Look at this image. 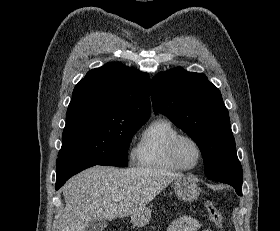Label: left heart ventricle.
I'll use <instances>...</instances> for the list:
<instances>
[{"mask_svg":"<svg viewBox=\"0 0 280 231\" xmlns=\"http://www.w3.org/2000/svg\"><path fill=\"white\" fill-rule=\"evenodd\" d=\"M177 156L181 164L189 169L195 168L200 160V153L197 145L187 138L179 142Z\"/></svg>","mask_w":280,"mask_h":231,"instance_id":"obj_1","label":"left heart ventricle"}]
</instances>
